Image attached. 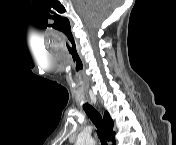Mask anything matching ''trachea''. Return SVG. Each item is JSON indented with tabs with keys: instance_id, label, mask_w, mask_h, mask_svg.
I'll return each instance as SVG.
<instances>
[{
	"instance_id": "1",
	"label": "trachea",
	"mask_w": 176,
	"mask_h": 145,
	"mask_svg": "<svg viewBox=\"0 0 176 145\" xmlns=\"http://www.w3.org/2000/svg\"><path fill=\"white\" fill-rule=\"evenodd\" d=\"M83 109L85 110L86 114L91 119V121L94 123V125L96 126L97 135H98V138H99L101 144L108 145L107 141L105 139V136H104V134H106V126H105V123H104L100 113L97 110H95L88 103H85L83 105Z\"/></svg>"
}]
</instances>
